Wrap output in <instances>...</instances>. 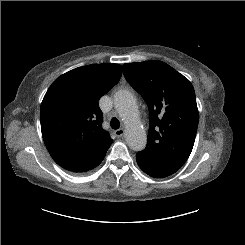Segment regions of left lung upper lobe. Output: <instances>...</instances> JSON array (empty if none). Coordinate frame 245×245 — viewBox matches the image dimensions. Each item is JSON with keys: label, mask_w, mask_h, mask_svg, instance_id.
Here are the masks:
<instances>
[{"label": "left lung upper lobe", "mask_w": 245, "mask_h": 245, "mask_svg": "<svg viewBox=\"0 0 245 245\" xmlns=\"http://www.w3.org/2000/svg\"><path fill=\"white\" fill-rule=\"evenodd\" d=\"M123 72L149 107L147 146L138 153L181 168L191 154L199 119L191 82L161 61L124 64Z\"/></svg>", "instance_id": "obj_1"}]
</instances>
